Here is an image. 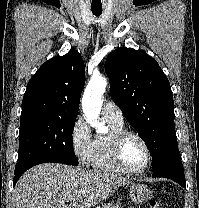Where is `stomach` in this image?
<instances>
[{
    "label": "stomach",
    "mask_w": 199,
    "mask_h": 208,
    "mask_svg": "<svg viewBox=\"0 0 199 208\" xmlns=\"http://www.w3.org/2000/svg\"><path fill=\"white\" fill-rule=\"evenodd\" d=\"M129 196L132 202L140 204L146 202L151 197V191L145 184H132L130 186Z\"/></svg>",
    "instance_id": "0dacf381"
}]
</instances>
